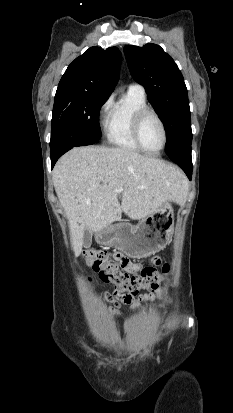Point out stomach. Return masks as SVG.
Listing matches in <instances>:
<instances>
[{"instance_id": "obj_1", "label": "stomach", "mask_w": 233, "mask_h": 413, "mask_svg": "<svg viewBox=\"0 0 233 413\" xmlns=\"http://www.w3.org/2000/svg\"><path fill=\"white\" fill-rule=\"evenodd\" d=\"M174 227V211L167 202L142 219L136 226L128 223L108 225L95 233L97 243L114 245L134 258H143L162 250Z\"/></svg>"}]
</instances>
